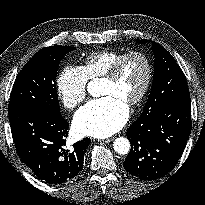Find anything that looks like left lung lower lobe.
<instances>
[{
    "label": "left lung lower lobe",
    "instance_id": "obj_1",
    "mask_svg": "<svg viewBox=\"0 0 205 205\" xmlns=\"http://www.w3.org/2000/svg\"><path fill=\"white\" fill-rule=\"evenodd\" d=\"M190 97L164 105L156 114L137 119L126 131L131 151L124 169L141 180H156L176 165L191 132Z\"/></svg>",
    "mask_w": 205,
    "mask_h": 205
}]
</instances>
